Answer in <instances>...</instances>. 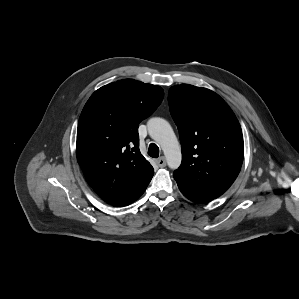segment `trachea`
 Wrapping results in <instances>:
<instances>
[{"label": "trachea", "mask_w": 299, "mask_h": 299, "mask_svg": "<svg viewBox=\"0 0 299 299\" xmlns=\"http://www.w3.org/2000/svg\"><path fill=\"white\" fill-rule=\"evenodd\" d=\"M148 155L153 157V158H158V156H159V147L156 144L151 143L149 145V148H148Z\"/></svg>", "instance_id": "obj_1"}]
</instances>
